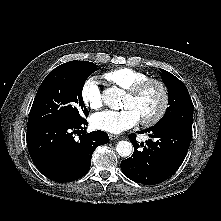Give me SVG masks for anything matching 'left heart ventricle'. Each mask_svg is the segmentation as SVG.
<instances>
[{
    "instance_id": "obj_1",
    "label": "left heart ventricle",
    "mask_w": 221,
    "mask_h": 221,
    "mask_svg": "<svg viewBox=\"0 0 221 221\" xmlns=\"http://www.w3.org/2000/svg\"><path fill=\"white\" fill-rule=\"evenodd\" d=\"M162 94L157 85H149L139 96H125L122 107L133 109L140 119L153 116L159 109Z\"/></svg>"
}]
</instances>
